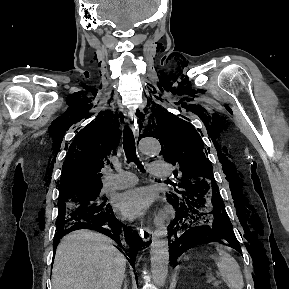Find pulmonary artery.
Masks as SVG:
<instances>
[{
	"instance_id": "1",
	"label": "pulmonary artery",
	"mask_w": 289,
	"mask_h": 289,
	"mask_svg": "<svg viewBox=\"0 0 289 289\" xmlns=\"http://www.w3.org/2000/svg\"><path fill=\"white\" fill-rule=\"evenodd\" d=\"M170 165L164 161H153L150 164V174L154 177H168ZM137 182L136 176L128 171H119L116 174H109L105 187L107 189H124L134 186Z\"/></svg>"
}]
</instances>
